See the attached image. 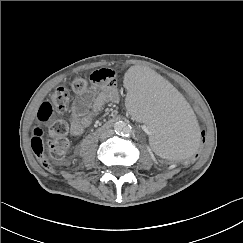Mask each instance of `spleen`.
I'll return each instance as SVG.
<instances>
[{
  "mask_svg": "<svg viewBox=\"0 0 243 243\" xmlns=\"http://www.w3.org/2000/svg\"><path fill=\"white\" fill-rule=\"evenodd\" d=\"M124 107L143 123L154 152L162 158L189 156L199 142V129L189 100L165 76L141 70L127 82Z\"/></svg>",
  "mask_w": 243,
  "mask_h": 243,
  "instance_id": "1",
  "label": "spleen"
}]
</instances>
